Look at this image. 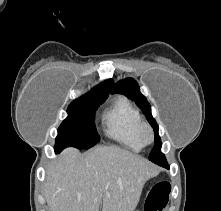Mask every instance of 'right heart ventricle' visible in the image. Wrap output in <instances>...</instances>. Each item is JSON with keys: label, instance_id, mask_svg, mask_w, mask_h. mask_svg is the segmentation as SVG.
<instances>
[{"label": "right heart ventricle", "instance_id": "obj_1", "mask_svg": "<svg viewBox=\"0 0 221 211\" xmlns=\"http://www.w3.org/2000/svg\"><path fill=\"white\" fill-rule=\"evenodd\" d=\"M106 134L133 151H140L144 143L140 137L143 123L139 110L125 97H118L103 115Z\"/></svg>", "mask_w": 221, "mask_h": 211}]
</instances>
